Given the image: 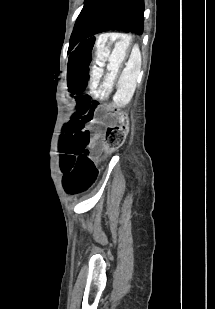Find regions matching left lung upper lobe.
Segmentation results:
<instances>
[{"instance_id":"left-lung-upper-lobe-1","label":"left lung upper lobe","mask_w":215,"mask_h":309,"mask_svg":"<svg viewBox=\"0 0 215 309\" xmlns=\"http://www.w3.org/2000/svg\"><path fill=\"white\" fill-rule=\"evenodd\" d=\"M115 29L144 32V0H85L70 38V47Z\"/></svg>"}]
</instances>
